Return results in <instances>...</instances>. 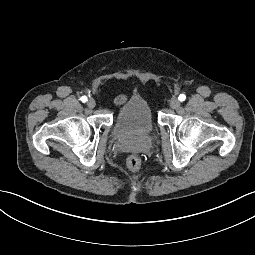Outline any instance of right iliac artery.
<instances>
[{
    "instance_id": "82829eb1",
    "label": "right iliac artery",
    "mask_w": 255,
    "mask_h": 255,
    "mask_svg": "<svg viewBox=\"0 0 255 255\" xmlns=\"http://www.w3.org/2000/svg\"><path fill=\"white\" fill-rule=\"evenodd\" d=\"M81 101H82V102H86V101H87V97H86V96H82V97H81Z\"/></svg>"
}]
</instances>
